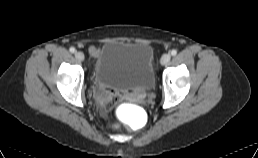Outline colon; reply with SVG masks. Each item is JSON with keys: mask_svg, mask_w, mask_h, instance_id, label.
I'll use <instances>...</instances> for the list:
<instances>
[{"mask_svg": "<svg viewBox=\"0 0 258 158\" xmlns=\"http://www.w3.org/2000/svg\"><path fill=\"white\" fill-rule=\"evenodd\" d=\"M122 105L117 106V112H120Z\"/></svg>", "mask_w": 258, "mask_h": 158, "instance_id": "5ec220e1", "label": "colon"}]
</instances>
